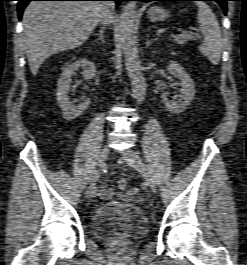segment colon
<instances>
[{"label": "colon", "mask_w": 247, "mask_h": 265, "mask_svg": "<svg viewBox=\"0 0 247 265\" xmlns=\"http://www.w3.org/2000/svg\"><path fill=\"white\" fill-rule=\"evenodd\" d=\"M117 186L120 190H126L127 189V181L125 179H119L117 182Z\"/></svg>", "instance_id": "colon-1"}]
</instances>
